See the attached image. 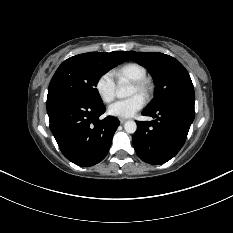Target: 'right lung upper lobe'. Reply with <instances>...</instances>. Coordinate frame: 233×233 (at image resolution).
Segmentation results:
<instances>
[{"instance_id":"right-lung-upper-lobe-1","label":"right lung upper lobe","mask_w":233,"mask_h":233,"mask_svg":"<svg viewBox=\"0 0 233 233\" xmlns=\"http://www.w3.org/2000/svg\"><path fill=\"white\" fill-rule=\"evenodd\" d=\"M99 53H100V52H99ZM103 54H109V55H120V56H122L125 60H127L126 55H125L123 52H121V51H115V52L103 53Z\"/></svg>"}]
</instances>
